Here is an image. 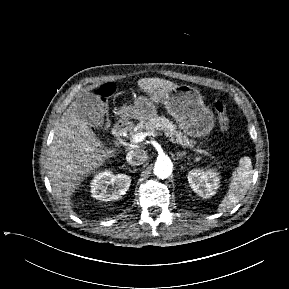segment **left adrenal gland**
I'll use <instances>...</instances> for the list:
<instances>
[{
	"label": "left adrenal gland",
	"mask_w": 289,
	"mask_h": 289,
	"mask_svg": "<svg viewBox=\"0 0 289 289\" xmlns=\"http://www.w3.org/2000/svg\"><path fill=\"white\" fill-rule=\"evenodd\" d=\"M182 156H183V153H178L177 154V160L180 159L179 157H182Z\"/></svg>",
	"instance_id": "1"
}]
</instances>
